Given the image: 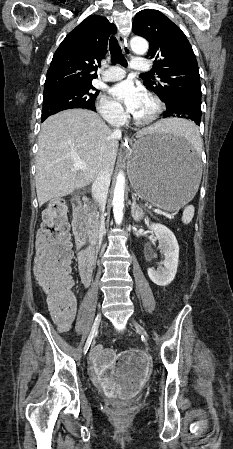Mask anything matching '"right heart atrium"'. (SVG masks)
Listing matches in <instances>:
<instances>
[{"label":"right heart atrium","mask_w":233,"mask_h":449,"mask_svg":"<svg viewBox=\"0 0 233 449\" xmlns=\"http://www.w3.org/2000/svg\"><path fill=\"white\" fill-rule=\"evenodd\" d=\"M97 110L100 115L112 125H120L125 121L122 107L110 97L102 94L97 100Z\"/></svg>","instance_id":"right-heart-atrium-1"}]
</instances>
